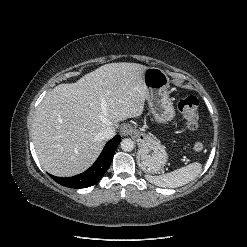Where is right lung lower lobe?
Returning <instances> with one entry per match:
<instances>
[{"label": "right lung lower lobe", "instance_id": "obj_1", "mask_svg": "<svg viewBox=\"0 0 247 247\" xmlns=\"http://www.w3.org/2000/svg\"><path fill=\"white\" fill-rule=\"evenodd\" d=\"M121 141V136L117 135L111 139L102 150L96 162L85 172L73 177L61 178L51 176L57 183L69 188H86L98 183L103 174L108 170L112 163L115 150Z\"/></svg>", "mask_w": 247, "mask_h": 247}]
</instances>
